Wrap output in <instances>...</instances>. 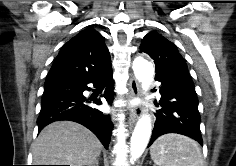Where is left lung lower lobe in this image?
<instances>
[{"label": "left lung lower lobe", "instance_id": "obj_1", "mask_svg": "<svg viewBox=\"0 0 236 166\" xmlns=\"http://www.w3.org/2000/svg\"><path fill=\"white\" fill-rule=\"evenodd\" d=\"M156 80L161 82V109L155 114V126L148 147L167 133L188 136L203 146L198 98L189 72L176 70L163 73Z\"/></svg>", "mask_w": 236, "mask_h": 166}]
</instances>
